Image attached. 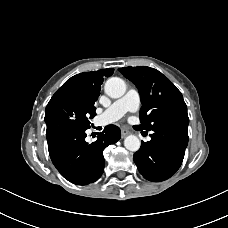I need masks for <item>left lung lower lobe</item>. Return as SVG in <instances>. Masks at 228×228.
<instances>
[{
  "label": "left lung lower lobe",
  "mask_w": 228,
  "mask_h": 228,
  "mask_svg": "<svg viewBox=\"0 0 228 228\" xmlns=\"http://www.w3.org/2000/svg\"><path fill=\"white\" fill-rule=\"evenodd\" d=\"M151 140L141 142L134 162L144 178L160 182L170 178L182 164L188 144V126L159 127L150 134Z\"/></svg>",
  "instance_id": "0a47b994"
}]
</instances>
